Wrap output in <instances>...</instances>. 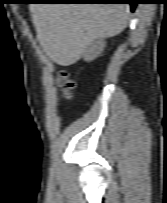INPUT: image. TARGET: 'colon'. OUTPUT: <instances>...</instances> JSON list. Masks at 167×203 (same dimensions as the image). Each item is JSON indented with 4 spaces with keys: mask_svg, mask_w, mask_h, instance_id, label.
Here are the masks:
<instances>
[{
    "mask_svg": "<svg viewBox=\"0 0 167 203\" xmlns=\"http://www.w3.org/2000/svg\"><path fill=\"white\" fill-rule=\"evenodd\" d=\"M59 78H60V84L63 89L64 96L70 97L75 87L74 81L71 80L65 72H61L59 74Z\"/></svg>",
    "mask_w": 167,
    "mask_h": 203,
    "instance_id": "1",
    "label": "colon"
}]
</instances>
